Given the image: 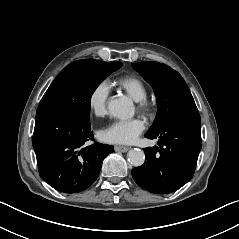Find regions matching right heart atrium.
I'll list each match as a JSON object with an SVG mask.
<instances>
[{
  "label": "right heart atrium",
  "mask_w": 239,
  "mask_h": 239,
  "mask_svg": "<svg viewBox=\"0 0 239 239\" xmlns=\"http://www.w3.org/2000/svg\"><path fill=\"white\" fill-rule=\"evenodd\" d=\"M110 95V89L106 82L101 81L94 85L88 93L87 103L90 112L101 117L107 111V103Z\"/></svg>",
  "instance_id": "right-heart-atrium-1"
}]
</instances>
